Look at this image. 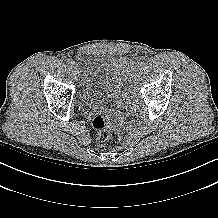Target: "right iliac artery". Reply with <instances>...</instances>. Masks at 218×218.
Wrapping results in <instances>:
<instances>
[{
  "label": "right iliac artery",
  "instance_id": "obj_1",
  "mask_svg": "<svg viewBox=\"0 0 218 218\" xmlns=\"http://www.w3.org/2000/svg\"><path fill=\"white\" fill-rule=\"evenodd\" d=\"M67 64H68L69 66H72V65L74 64V61H73L72 59H68V60H67Z\"/></svg>",
  "mask_w": 218,
  "mask_h": 218
}]
</instances>
